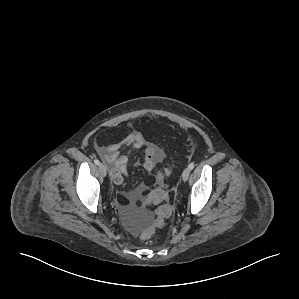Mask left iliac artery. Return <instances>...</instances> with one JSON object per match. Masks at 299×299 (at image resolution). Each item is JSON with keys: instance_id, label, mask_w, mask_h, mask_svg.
I'll return each mask as SVG.
<instances>
[{"instance_id": "left-iliac-artery-1", "label": "left iliac artery", "mask_w": 299, "mask_h": 299, "mask_svg": "<svg viewBox=\"0 0 299 299\" xmlns=\"http://www.w3.org/2000/svg\"><path fill=\"white\" fill-rule=\"evenodd\" d=\"M194 167H195V164H194V163H191V164L189 165V169H190V170H192Z\"/></svg>"}]
</instances>
